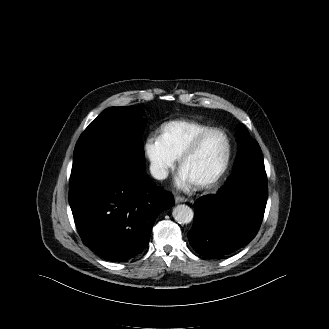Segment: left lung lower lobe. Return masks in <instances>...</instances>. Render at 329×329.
I'll use <instances>...</instances> for the list:
<instances>
[{
    "mask_svg": "<svg viewBox=\"0 0 329 329\" xmlns=\"http://www.w3.org/2000/svg\"><path fill=\"white\" fill-rule=\"evenodd\" d=\"M267 195L265 167L244 169L237 160L224 187L195 202L188 233L192 248L202 256L218 258L247 245L260 228Z\"/></svg>",
    "mask_w": 329,
    "mask_h": 329,
    "instance_id": "0a47b994",
    "label": "left lung lower lobe"
}]
</instances>
